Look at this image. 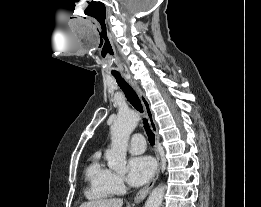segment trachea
<instances>
[{
	"label": "trachea",
	"instance_id": "obj_1",
	"mask_svg": "<svg viewBox=\"0 0 261 207\" xmlns=\"http://www.w3.org/2000/svg\"><path fill=\"white\" fill-rule=\"evenodd\" d=\"M113 76L115 77L118 85L124 92L127 100L133 105V107L137 111L143 113V107H142L141 101H140L139 97L137 96L136 92L134 91V89L121 77V75L119 73L113 74ZM144 128L147 132L148 140H149L150 144L154 145L155 144V135L152 132V130L150 129L149 123L146 119H144Z\"/></svg>",
	"mask_w": 261,
	"mask_h": 207
}]
</instances>
